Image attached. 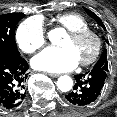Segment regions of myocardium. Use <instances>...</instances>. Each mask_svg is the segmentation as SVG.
<instances>
[{
    "label": "myocardium",
    "mask_w": 117,
    "mask_h": 117,
    "mask_svg": "<svg viewBox=\"0 0 117 117\" xmlns=\"http://www.w3.org/2000/svg\"><path fill=\"white\" fill-rule=\"evenodd\" d=\"M68 36L73 40H81L86 37H91L95 42V46L91 55L79 61L82 66L91 65L99 58L103 47V40L101 35L97 31L90 28H85L75 31H69Z\"/></svg>",
    "instance_id": "f54148a6"
}]
</instances>
